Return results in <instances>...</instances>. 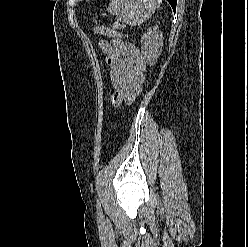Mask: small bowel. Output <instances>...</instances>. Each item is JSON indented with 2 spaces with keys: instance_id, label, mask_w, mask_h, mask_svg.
Here are the masks:
<instances>
[{
  "instance_id": "obj_1",
  "label": "small bowel",
  "mask_w": 248,
  "mask_h": 247,
  "mask_svg": "<svg viewBox=\"0 0 248 247\" xmlns=\"http://www.w3.org/2000/svg\"><path fill=\"white\" fill-rule=\"evenodd\" d=\"M100 48L105 55L112 85L111 103L114 106L132 102L141 92L143 73L136 66L140 50L121 39L102 40Z\"/></svg>"
}]
</instances>
